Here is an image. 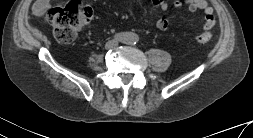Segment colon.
<instances>
[{
  "mask_svg": "<svg viewBox=\"0 0 253 138\" xmlns=\"http://www.w3.org/2000/svg\"><path fill=\"white\" fill-rule=\"evenodd\" d=\"M92 8L81 2L71 1L64 7H56L48 10L45 20L53 25L55 38L62 43H69L75 39L78 32L91 19ZM212 39L209 30L194 37V42L198 45H205Z\"/></svg>",
  "mask_w": 253,
  "mask_h": 138,
  "instance_id": "5ec220e1",
  "label": "colon"
}]
</instances>
